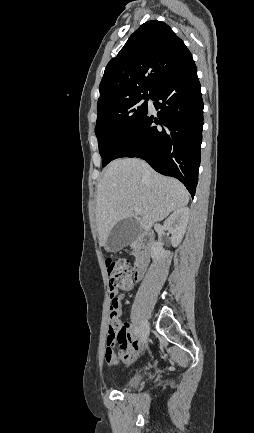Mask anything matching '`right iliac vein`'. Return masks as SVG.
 I'll use <instances>...</instances> for the list:
<instances>
[{"label": "right iliac vein", "instance_id": "63e3f726", "mask_svg": "<svg viewBox=\"0 0 254 433\" xmlns=\"http://www.w3.org/2000/svg\"><path fill=\"white\" fill-rule=\"evenodd\" d=\"M149 335V324L148 322L143 323L140 329V340L145 343Z\"/></svg>", "mask_w": 254, "mask_h": 433}]
</instances>
